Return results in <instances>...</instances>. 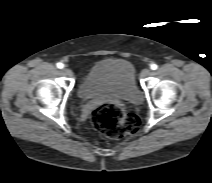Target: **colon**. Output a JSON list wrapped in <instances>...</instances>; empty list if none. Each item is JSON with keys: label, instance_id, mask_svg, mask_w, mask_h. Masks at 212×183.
<instances>
[{"label": "colon", "instance_id": "colon-1", "mask_svg": "<svg viewBox=\"0 0 212 183\" xmlns=\"http://www.w3.org/2000/svg\"><path fill=\"white\" fill-rule=\"evenodd\" d=\"M90 121L96 130L112 139L135 134L140 128V119L136 114L124 111L113 102L96 106L90 114Z\"/></svg>", "mask_w": 212, "mask_h": 183}]
</instances>
